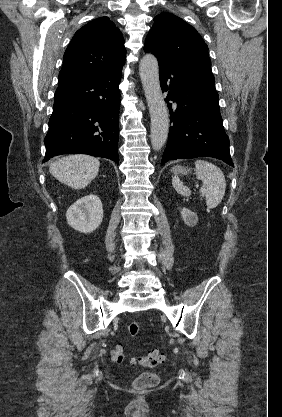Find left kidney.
<instances>
[{"label": "left kidney", "instance_id": "left-kidney-1", "mask_svg": "<svg viewBox=\"0 0 282 417\" xmlns=\"http://www.w3.org/2000/svg\"><path fill=\"white\" fill-rule=\"evenodd\" d=\"M181 217L185 225H188V227H195V225H197L198 223V217L196 213H193V211H189V209H182Z\"/></svg>", "mask_w": 282, "mask_h": 417}]
</instances>
